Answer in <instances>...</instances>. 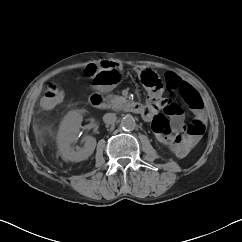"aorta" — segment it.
<instances>
[{
	"label": "aorta",
	"instance_id": "obj_1",
	"mask_svg": "<svg viewBox=\"0 0 242 242\" xmlns=\"http://www.w3.org/2000/svg\"><path fill=\"white\" fill-rule=\"evenodd\" d=\"M120 125L124 130L132 131L136 127V122L132 115L127 114L122 118Z\"/></svg>",
	"mask_w": 242,
	"mask_h": 242
}]
</instances>
